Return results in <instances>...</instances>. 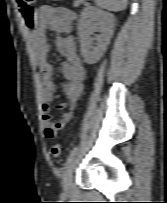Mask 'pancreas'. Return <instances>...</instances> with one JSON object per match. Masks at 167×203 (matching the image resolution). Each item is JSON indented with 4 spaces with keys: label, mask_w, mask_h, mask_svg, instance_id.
Masks as SVG:
<instances>
[{
    "label": "pancreas",
    "mask_w": 167,
    "mask_h": 203,
    "mask_svg": "<svg viewBox=\"0 0 167 203\" xmlns=\"http://www.w3.org/2000/svg\"><path fill=\"white\" fill-rule=\"evenodd\" d=\"M84 3H85V0H76L74 2V6L76 7V6H79L80 4H84Z\"/></svg>",
    "instance_id": "obj_1"
}]
</instances>
